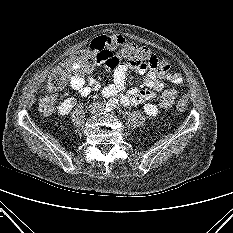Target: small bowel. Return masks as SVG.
I'll use <instances>...</instances> for the list:
<instances>
[{
  "label": "small bowel",
  "mask_w": 233,
  "mask_h": 233,
  "mask_svg": "<svg viewBox=\"0 0 233 233\" xmlns=\"http://www.w3.org/2000/svg\"><path fill=\"white\" fill-rule=\"evenodd\" d=\"M107 41L117 43L123 42L124 39L121 36L99 37L91 43V46L98 48ZM101 63L113 72V82L102 89V95L104 97L120 95V101L124 106L140 105L155 98L164 87L163 79H167L174 84L182 82V76L177 72H169V67L159 68L123 63L119 53L114 49L107 50L106 57ZM129 69H133L143 76L145 89L131 88L125 93L123 92ZM70 85L82 96H88L100 88L95 79L89 77L85 80L80 74L71 75Z\"/></svg>",
  "instance_id": "1"
}]
</instances>
